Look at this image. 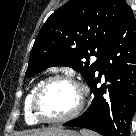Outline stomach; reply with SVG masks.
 <instances>
[{"label":"stomach","instance_id":"stomach-1","mask_svg":"<svg viewBox=\"0 0 136 136\" xmlns=\"http://www.w3.org/2000/svg\"><path fill=\"white\" fill-rule=\"evenodd\" d=\"M50 136H80L79 133L73 130L58 129L54 131Z\"/></svg>","mask_w":136,"mask_h":136}]
</instances>
